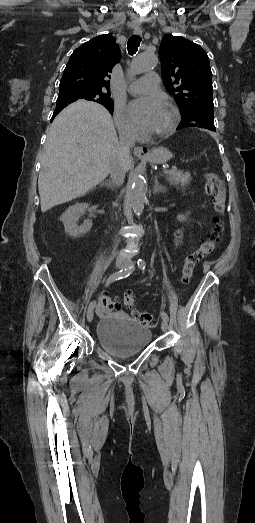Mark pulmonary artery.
<instances>
[{
	"mask_svg": "<svg viewBox=\"0 0 255 523\" xmlns=\"http://www.w3.org/2000/svg\"><path fill=\"white\" fill-rule=\"evenodd\" d=\"M158 75L155 72H149L146 76H142L140 80L132 83L129 91L132 93L144 92L145 96L150 97L152 94L158 95L161 92L159 87Z\"/></svg>",
	"mask_w": 255,
	"mask_h": 523,
	"instance_id": "1",
	"label": "pulmonary artery"
}]
</instances>
